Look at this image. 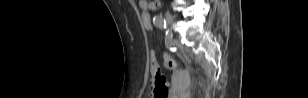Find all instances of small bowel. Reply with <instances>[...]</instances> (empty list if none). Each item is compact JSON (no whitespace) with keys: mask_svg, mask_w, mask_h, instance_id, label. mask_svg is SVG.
Wrapping results in <instances>:
<instances>
[{"mask_svg":"<svg viewBox=\"0 0 308 98\" xmlns=\"http://www.w3.org/2000/svg\"><path fill=\"white\" fill-rule=\"evenodd\" d=\"M138 4H139V7L141 9H149L150 11H154V10H156L159 7V2L158 1L140 0L138 2ZM142 18H143V16H142Z\"/></svg>","mask_w":308,"mask_h":98,"instance_id":"obj_1","label":"small bowel"}]
</instances>
